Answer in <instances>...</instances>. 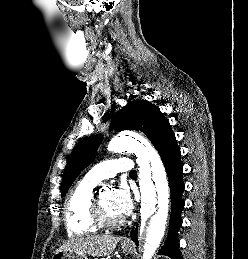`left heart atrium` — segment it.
<instances>
[{
    "label": "left heart atrium",
    "mask_w": 248,
    "mask_h": 259,
    "mask_svg": "<svg viewBox=\"0 0 248 259\" xmlns=\"http://www.w3.org/2000/svg\"><path fill=\"white\" fill-rule=\"evenodd\" d=\"M115 210L121 217L128 216L133 210V201L128 188L121 185L112 194Z\"/></svg>",
    "instance_id": "39dd6f15"
}]
</instances>
